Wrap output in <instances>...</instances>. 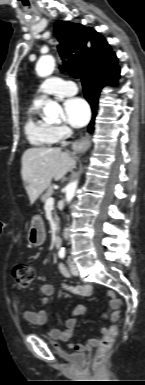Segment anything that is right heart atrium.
<instances>
[{"label": "right heart atrium", "mask_w": 145, "mask_h": 385, "mask_svg": "<svg viewBox=\"0 0 145 385\" xmlns=\"http://www.w3.org/2000/svg\"><path fill=\"white\" fill-rule=\"evenodd\" d=\"M54 132L58 140L62 139L68 133V128L64 125L54 127Z\"/></svg>", "instance_id": "d8ad5b80"}]
</instances>
